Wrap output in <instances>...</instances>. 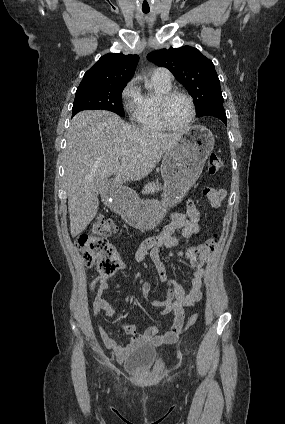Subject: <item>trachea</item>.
Listing matches in <instances>:
<instances>
[{
	"mask_svg": "<svg viewBox=\"0 0 285 424\" xmlns=\"http://www.w3.org/2000/svg\"><path fill=\"white\" fill-rule=\"evenodd\" d=\"M145 14H147L149 11H143Z\"/></svg>",
	"mask_w": 285,
	"mask_h": 424,
	"instance_id": "1",
	"label": "trachea"
}]
</instances>
